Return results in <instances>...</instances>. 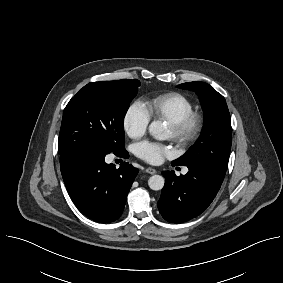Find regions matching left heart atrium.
<instances>
[{
    "label": "left heart atrium",
    "instance_id": "left-heart-atrium-1",
    "mask_svg": "<svg viewBox=\"0 0 283 283\" xmlns=\"http://www.w3.org/2000/svg\"><path fill=\"white\" fill-rule=\"evenodd\" d=\"M170 153L171 150L169 147L157 142L144 141L136 146V154L151 164L161 163Z\"/></svg>",
    "mask_w": 283,
    "mask_h": 283
}]
</instances>
